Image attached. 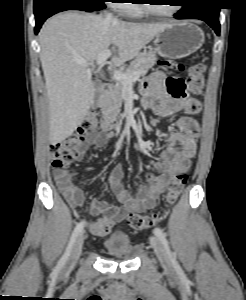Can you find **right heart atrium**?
Instances as JSON below:
<instances>
[{
  "label": "right heart atrium",
  "mask_w": 246,
  "mask_h": 300,
  "mask_svg": "<svg viewBox=\"0 0 246 300\" xmlns=\"http://www.w3.org/2000/svg\"><path fill=\"white\" fill-rule=\"evenodd\" d=\"M122 1L125 0H113L111 4L113 5L114 8L121 10L122 5L126 4V3L124 4L120 3Z\"/></svg>",
  "instance_id": "obj_1"
}]
</instances>
